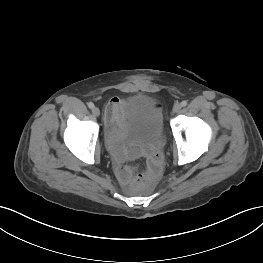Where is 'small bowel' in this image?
<instances>
[{
	"label": "small bowel",
	"instance_id": "small-bowel-1",
	"mask_svg": "<svg viewBox=\"0 0 263 263\" xmlns=\"http://www.w3.org/2000/svg\"><path fill=\"white\" fill-rule=\"evenodd\" d=\"M124 101L119 97H113L107 104L105 111V128L107 144L115 164L118 179L124 185H128L134 174V169L126 165L127 161L140 156H146L149 163L155 159L161 160V154L150 149L147 151L130 150L120 143V131L123 116Z\"/></svg>",
	"mask_w": 263,
	"mask_h": 263
}]
</instances>
